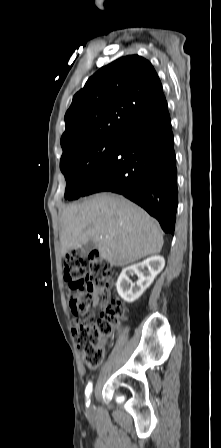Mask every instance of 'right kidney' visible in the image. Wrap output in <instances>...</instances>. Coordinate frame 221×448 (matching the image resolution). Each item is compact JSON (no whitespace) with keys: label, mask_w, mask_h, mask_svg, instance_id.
<instances>
[{"label":"right kidney","mask_w":221,"mask_h":448,"mask_svg":"<svg viewBox=\"0 0 221 448\" xmlns=\"http://www.w3.org/2000/svg\"><path fill=\"white\" fill-rule=\"evenodd\" d=\"M164 265V258L157 255L124 268L116 283L120 297L127 303L136 301L163 270ZM133 274L138 277L136 284L130 280V276H133Z\"/></svg>","instance_id":"obj_1"}]
</instances>
